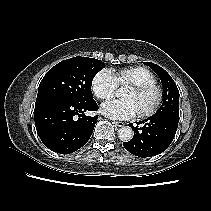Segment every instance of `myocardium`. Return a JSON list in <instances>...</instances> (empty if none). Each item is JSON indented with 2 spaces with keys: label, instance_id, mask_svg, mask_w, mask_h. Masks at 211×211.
<instances>
[{
  "label": "myocardium",
  "instance_id": "myocardium-1",
  "mask_svg": "<svg viewBox=\"0 0 211 211\" xmlns=\"http://www.w3.org/2000/svg\"><path fill=\"white\" fill-rule=\"evenodd\" d=\"M131 87L140 93H147L149 91H153L155 93V100L153 104L148 109L139 112L141 117H150L154 115L160 108L164 99V91L162 87L156 82L134 83L131 84Z\"/></svg>",
  "mask_w": 211,
  "mask_h": 211
}]
</instances>
